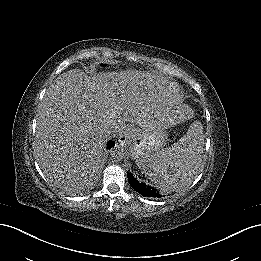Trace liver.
I'll return each mask as SVG.
<instances>
[{
  "label": "liver",
  "instance_id": "liver-1",
  "mask_svg": "<svg viewBox=\"0 0 261 261\" xmlns=\"http://www.w3.org/2000/svg\"><path fill=\"white\" fill-rule=\"evenodd\" d=\"M125 87L111 73L90 77L75 69L47 90L37 118L35 152L48 177L56 183L86 177L100 161L107 129L115 131L125 121L142 126L164 116L163 100L138 101Z\"/></svg>",
  "mask_w": 261,
  "mask_h": 261
}]
</instances>
